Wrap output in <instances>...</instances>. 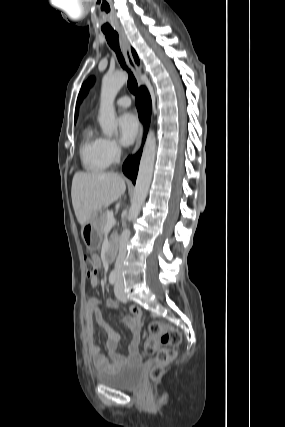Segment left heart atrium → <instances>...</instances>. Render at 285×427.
<instances>
[{
    "instance_id": "39dd6f15",
    "label": "left heart atrium",
    "mask_w": 285,
    "mask_h": 427,
    "mask_svg": "<svg viewBox=\"0 0 285 427\" xmlns=\"http://www.w3.org/2000/svg\"><path fill=\"white\" fill-rule=\"evenodd\" d=\"M120 140L124 145H130L136 139L139 132V122L132 113H124L118 119Z\"/></svg>"
}]
</instances>
